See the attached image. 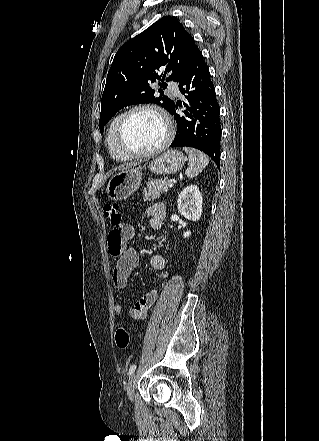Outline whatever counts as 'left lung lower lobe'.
<instances>
[{
	"instance_id": "0a47b994",
	"label": "left lung lower lobe",
	"mask_w": 319,
	"mask_h": 441,
	"mask_svg": "<svg viewBox=\"0 0 319 441\" xmlns=\"http://www.w3.org/2000/svg\"><path fill=\"white\" fill-rule=\"evenodd\" d=\"M179 90L186 94L188 103L183 106L185 116H180L172 105L169 113L174 115L177 131L171 147H193L206 153L219 167L221 124L220 108L216 100L215 88L202 53L181 76ZM220 168V167H219Z\"/></svg>"
}]
</instances>
